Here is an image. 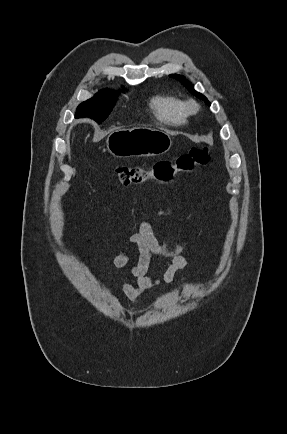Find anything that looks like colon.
<instances>
[{
  "mask_svg": "<svg viewBox=\"0 0 287 434\" xmlns=\"http://www.w3.org/2000/svg\"><path fill=\"white\" fill-rule=\"evenodd\" d=\"M208 161V148L194 147L178 156L174 162L158 161L149 169L143 166H119L115 172L123 185H140L149 180L170 184L180 175L192 173L197 167L206 165Z\"/></svg>",
  "mask_w": 287,
  "mask_h": 434,
  "instance_id": "colon-1",
  "label": "colon"
}]
</instances>
